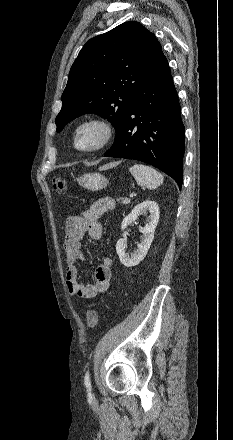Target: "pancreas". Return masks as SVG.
<instances>
[{
	"label": "pancreas",
	"mask_w": 233,
	"mask_h": 440,
	"mask_svg": "<svg viewBox=\"0 0 233 440\" xmlns=\"http://www.w3.org/2000/svg\"><path fill=\"white\" fill-rule=\"evenodd\" d=\"M117 201L120 203H122V204H129L130 203V199H128V198H119V199H117Z\"/></svg>",
	"instance_id": "1"
}]
</instances>
